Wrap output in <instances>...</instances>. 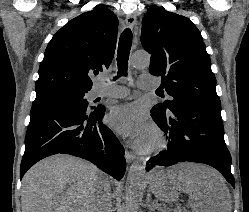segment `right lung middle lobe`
<instances>
[{"label":"right lung middle lobe","mask_w":249,"mask_h":212,"mask_svg":"<svg viewBox=\"0 0 249 212\" xmlns=\"http://www.w3.org/2000/svg\"><path fill=\"white\" fill-rule=\"evenodd\" d=\"M86 91H55L36 96L32 106L35 105H70L82 108H93L88 106L84 98Z\"/></svg>","instance_id":"dd1d6c3e"}]
</instances>
